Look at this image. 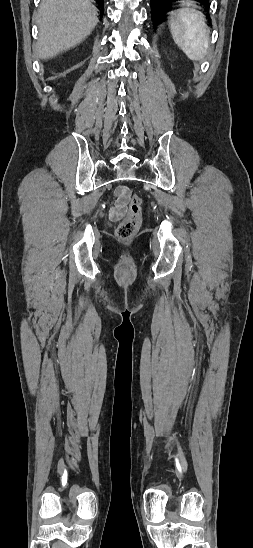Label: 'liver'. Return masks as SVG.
Segmentation results:
<instances>
[{
    "label": "liver",
    "instance_id": "liver-1",
    "mask_svg": "<svg viewBox=\"0 0 253 548\" xmlns=\"http://www.w3.org/2000/svg\"><path fill=\"white\" fill-rule=\"evenodd\" d=\"M98 21L90 0H42L37 15L38 58L49 59L80 44Z\"/></svg>",
    "mask_w": 253,
    "mask_h": 548
}]
</instances>
